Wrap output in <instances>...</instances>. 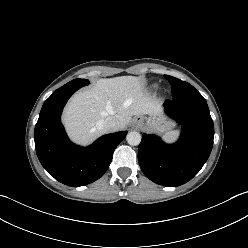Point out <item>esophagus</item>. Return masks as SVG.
I'll return each mask as SVG.
<instances>
[{
	"label": "esophagus",
	"mask_w": 248,
	"mask_h": 248,
	"mask_svg": "<svg viewBox=\"0 0 248 248\" xmlns=\"http://www.w3.org/2000/svg\"><path fill=\"white\" fill-rule=\"evenodd\" d=\"M134 123L135 124H137V125H139V124H141V123H143V119L141 118V117H136L135 119H134Z\"/></svg>",
	"instance_id": "obj_1"
}]
</instances>
